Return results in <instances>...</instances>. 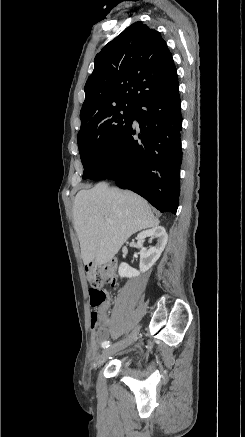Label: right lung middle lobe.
<instances>
[{
    "instance_id": "dd1d6c3e",
    "label": "right lung middle lobe",
    "mask_w": 245,
    "mask_h": 437,
    "mask_svg": "<svg viewBox=\"0 0 245 437\" xmlns=\"http://www.w3.org/2000/svg\"><path fill=\"white\" fill-rule=\"evenodd\" d=\"M133 111L134 105H114L81 125L77 142L84 167L83 179H87L110 156L131 124Z\"/></svg>"
}]
</instances>
